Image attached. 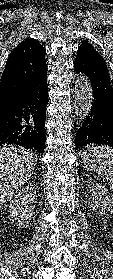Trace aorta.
I'll use <instances>...</instances> for the list:
<instances>
[{"label": "aorta", "instance_id": "1", "mask_svg": "<svg viewBox=\"0 0 113 279\" xmlns=\"http://www.w3.org/2000/svg\"><path fill=\"white\" fill-rule=\"evenodd\" d=\"M93 99V91L88 77L80 74L76 78L74 87V112L77 120L84 121L87 118Z\"/></svg>", "mask_w": 113, "mask_h": 279}]
</instances>
